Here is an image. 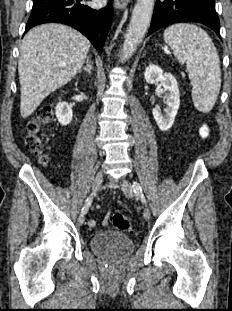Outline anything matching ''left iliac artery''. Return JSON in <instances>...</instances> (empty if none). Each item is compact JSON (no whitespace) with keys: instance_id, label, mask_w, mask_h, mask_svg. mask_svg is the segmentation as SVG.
Returning a JSON list of instances; mask_svg holds the SVG:
<instances>
[{"instance_id":"44dca946","label":"left iliac artery","mask_w":232,"mask_h":311,"mask_svg":"<svg viewBox=\"0 0 232 311\" xmlns=\"http://www.w3.org/2000/svg\"><path fill=\"white\" fill-rule=\"evenodd\" d=\"M133 188H134L135 194L141 198L143 203H146V200H145V197H144V195L142 193V188H141L140 184L137 183V182H134L133 183Z\"/></svg>"}]
</instances>
